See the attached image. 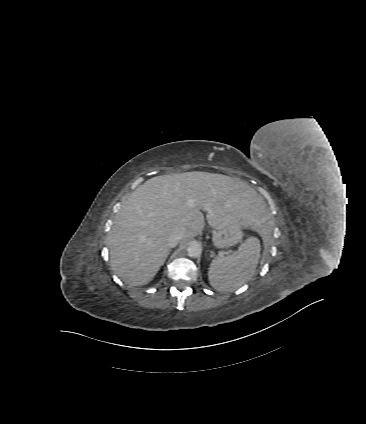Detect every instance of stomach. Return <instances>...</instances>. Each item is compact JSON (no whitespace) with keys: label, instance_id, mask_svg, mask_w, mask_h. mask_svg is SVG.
<instances>
[{"label":"stomach","instance_id":"1","mask_svg":"<svg viewBox=\"0 0 366 424\" xmlns=\"http://www.w3.org/2000/svg\"><path fill=\"white\" fill-rule=\"evenodd\" d=\"M243 236L241 226L233 224V226L221 227L214 231L212 241L217 248H229L241 241Z\"/></svg>","mask_w":366,"mask_h":424}]
</instances>
